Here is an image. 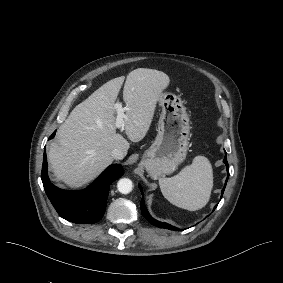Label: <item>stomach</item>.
Masks as SVG:
<instances>
[{
	"label": "stomach",
	"instance_id": "0dacf381",
	"mask_svg": "<svg viewBox=\"0 0 283 283\" xmlns=\"http://www.w3.org/2000/svg\"><path fill=\"white\" fill-rule=\"evenodd\" d=\"M156 101L162 108L158 132L141 163L153 179L171 174L186 159L190 137L189 116L181 96L160 91Z\"/></svg>",
	"mask_w": 283,
	"mask_h": 283
}]
</instances>
